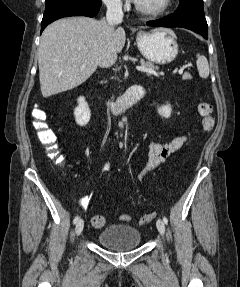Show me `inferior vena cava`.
Listing matches in <instances>:
<instances>
[{
  "instance_id": "602c4592",
  "label": "inferior vena cava",
  "mask_w": 240,
  "mask_h": 287,
  "mask_svg": "<svg viewBox=\"0 0 240 287\" xmlns=\"http://www.w3.org/2000/svg\"><path fill=\"white\" fill-rule=\"evenodd\" d=\"M106 20L111 27L121 23L123 19L122 3L120 0H106Z\"/></svg>"
}]
</instances>
